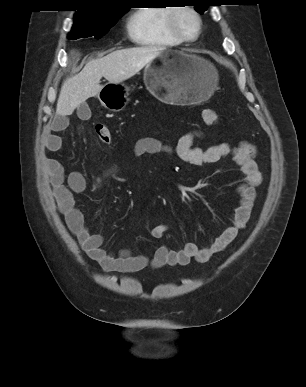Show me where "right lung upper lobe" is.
I'll list each match as a JSON object with an SVG mask.
<instances>
[{
    "mask_svg": "<svg viewBox=\"0 0 306 387\" xmlns=\"http://www.w3.org/2000/svg\"><path fill=\"white\" fill-rule=\"evenodd\" d=\"M82 6L75 18H102L126 10L122 0H82Z\"/></svg>",
    "mask_w": 306,
    "mask_h": 387,
    "instance_id": "1",
    "label": "right lung upper lobe"
}]
</instances>
